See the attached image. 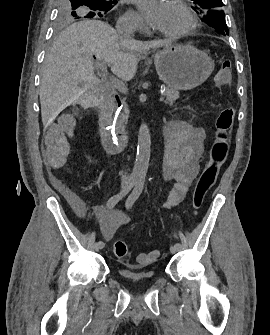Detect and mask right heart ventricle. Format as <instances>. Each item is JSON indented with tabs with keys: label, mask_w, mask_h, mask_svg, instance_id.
Returning a JSON list of instances; mask_svg holds the SVG:
<instances>
[{
	"label": "right heart ventricle",
	"mask_w": 270,
	"mask_h": 335,
	"mask_svg": "<svg viewBox=\"0 0 270 335\" xmlns=\"http://www.w3.org/2000/svg\"><path fill=\"white\" fill-rule=\"evenodd\" d=\"M161 78H173V77H161Z\"/></svg>",
	"instance_id": "right-heart-ventricle-1"
}]
</instances>
